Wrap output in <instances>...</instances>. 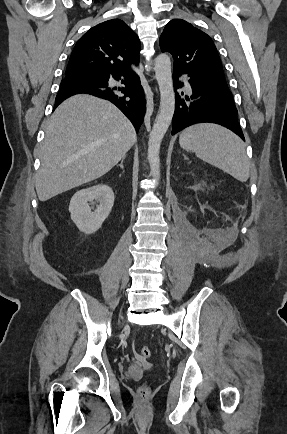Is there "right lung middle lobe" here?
<instances>
[{
	"instance_id": "dd1d6c3e",
	"label": "right lung middle lobe",
	"mask_w": 287,
	"mask_h": 434,
	"mask_svg": "<svg viewBox=\"0 0 287 434\" xmlns=\"http://www.w3.org/2000/svg\"><path fill=\"white\" fill-rule=\"evenodd\" d=\"M73 78L76 80L85 79V78H97V75L85 74L80 76H73Z\"/></svg>"
}]
</instances>
